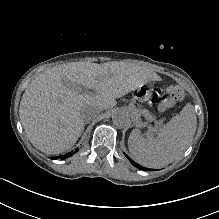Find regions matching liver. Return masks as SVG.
Wrapping results in <instances>:
<instances>
[{
  "label": "liver",
  "mask_w": 219,
  "mask_h": 219,
  "mask_svg": "<svg viewBox=\"0 0 219 219\" xmlns=\"http://www.w3.org/2000/svg\"><path fill=\"white\" fill-rule=\"evenodd\" d=\"M150 73L143 67L116 62H73L45 69L25 90L19 108L20 120L30 143L54 155L70 149L80 137L86 120L100 110L116 105L120 98L146 82ZM77 87L96 90L80 95Z\"/></svg>",
  "instance_id": "liver-1"
}]
</instances>
